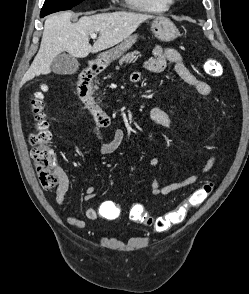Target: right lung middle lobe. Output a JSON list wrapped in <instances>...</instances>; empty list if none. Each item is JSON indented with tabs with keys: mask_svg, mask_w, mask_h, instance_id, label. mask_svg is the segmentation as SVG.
<instances>
[{
	"mask_svg": "<svg viewBox=\"0 0 249 294\" xmlns=\"http://www.w3.org/2000/svg\"><path fill=\"white\" fill-rule=\"evenodd\" d=\"M83 0H45L40 16L44 17L48 14L69 10Z\"/></svg>",
	"mask_w": 249,
	"mask_h": 294,
	"instance_id": "right-lung-middle-lobe-1",
	"label": "right lung middle lobe"
}]
</instances>
